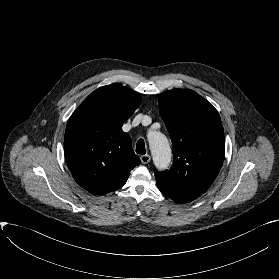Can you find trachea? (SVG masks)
Masks as SVG:
<instances>
[{"instance_id": "obj_1", "label": "trachea", "mask_w": 279, "mask_h": 279, "mask_svg": "<svg viewBox=\"0 0 279 279\" xmlns=\"http://www.w3.org/2000/svg\"><path fill=\"white\" fill-rule=\"evenodd\" d=\"M136 153L146 154L145 143L143 139H139L136 145Z\"/></svg>"}]
</instances>
